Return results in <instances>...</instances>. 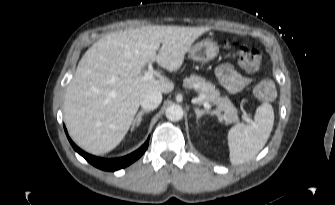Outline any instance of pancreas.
Returning <instances> with one entry per match:
<instances>
[{
	"instance_id": "pancreas-1",
	"label": "pancreas",
	"mask_w": 335,
	"mask_h": 205,
	"mask_svg": "<svg viewBox=\"0 0 335 205\" xmlns=\"http://www.w3.org/2000/svg\"><path fill=\"white\" fill-rule=\"evenodd\" d=\"M183 86L188 89H195L201 95H204V98L200 99V103L207 101L217 106L218 112H223L222 118L225 122L236 123L238 121L237 110L233 103L228 97H223L220 95V92L215 89V86L206 81L204 78L191 75L189 78H185Z\"/></svg>"
}]
</instances>
